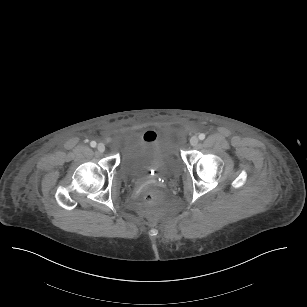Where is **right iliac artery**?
I'll list each match as a JSON object with an SVG mask.
<instances>
[{
	"instance_id": "1",
	"label": "right iliac artery",
	"mask_w": 307,
	"mask_h": 307,
	"mask_svg": "<svg viewBox=\"0 0 307 307\" xmlns=\"http://www.w3.org/2000/svg\"><path fill=\"white\" fill-rule=\"evenodd\" d=\"M96 145H97V144H96L95 141H92V142L90 143V146H91V147H96Z\"/></svg>"
}]
</instances>
